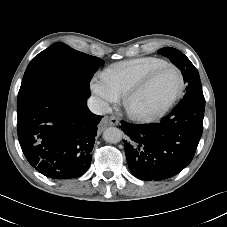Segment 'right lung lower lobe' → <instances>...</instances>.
<instances>
[{
	"instance_id": "98d812e1",
	"label": "right lung lower lobe",
	"mask_w": 227,
	"mask_h": 227,
	"mask_svg": "<svg viewBox=\"0 0 227 227\" xmlns=\"http://www.w3.org/2000/svg\"><path fill=\"white\" fill-rule=\"evenodd\" d=\"M87 98L51 90L17 105L19 142L38 172L54 179H69L89 168L102 116L88 109Z\"/></svg>"
}]
</instances>
